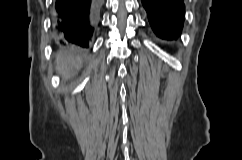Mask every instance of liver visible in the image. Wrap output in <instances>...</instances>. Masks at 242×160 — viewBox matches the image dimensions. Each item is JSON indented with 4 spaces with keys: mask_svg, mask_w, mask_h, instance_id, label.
<instances>
[{
    "mask_svg": "<svg viewBox=\"0 0 242 160\" xmlns=\"http://www.w3.org/2000/svg\"><path fill=\"white\" fill-rule=\"evenodd\" d=\"M57 70L67 77L73 68H79L81 58L77 50L72 48L68 51H61L56 56Z\"/></svg>",
    "mask_w": 242,
    "mask_h": 160,
    "instance_id": "obj_1",
    "label": "liver"
}]
</instances>
